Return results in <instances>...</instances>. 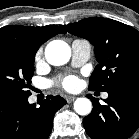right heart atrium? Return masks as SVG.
Returning <instances> with one entry per match:
<instances>
[{
	"mask_svg": "<svg viewBox=\"0 0 139 139\" xmlns=\"http://www.w3.org/2000/svg\"><path fill=\"white\" fill-rule=\"evenodd\" d=\"M41 57V50H39L36 54V59L38 60Z\"/></svg>",
	"mask_w": 139,
	"mask_h": 139,
	"instance_id": "d8ad5b80",
	"label": "right heart atrium"
}]
</instances>
